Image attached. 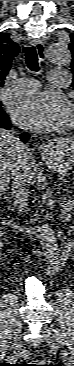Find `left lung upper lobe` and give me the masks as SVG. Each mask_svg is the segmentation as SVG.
I'll use <instances>...</instances> for the list:
<instances>
[{
	"instance_id": "1",
	"label": "left lung upper lobe",
	"mask_w": 74,
	"mask_h": 366,
	"mask_svg": "<svg viewBox=\"0 0 74 366\" xmlns=\"http://www.w3.org/2000/svg\"><path fill=\"white\" fill-rule=\"evenodd\" d=\"M70 38H71V42L69 43V49L72 52L71 68H72V73L74 74V34H71ZM72 86L74 87V78H73Z\"/></svg>"
}]
</instances>
